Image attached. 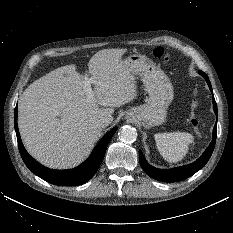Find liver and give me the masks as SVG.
<instances>
[{
	"label": "liver",
	"instance_id": "obj_1",
	"mask_svg": "<svg viewBox=\"0 0 233 233\" xmlns=\"http://www.w3.org/2000/svg\"><path fill=\"white\" fill-rule=\"evenodd\" d=\"M125 52L104 49L92 56L91 101L84 90L87 77L76 65L59 67L25 89L18 102V126L30 155L49 168L67 169L90 154L102 131L98 119L112 117L114 107L136 97L135 77L121 59Z\"/></svg>",
	"mask_w": 233,
	"mask_h": 233
}]
</instances>
